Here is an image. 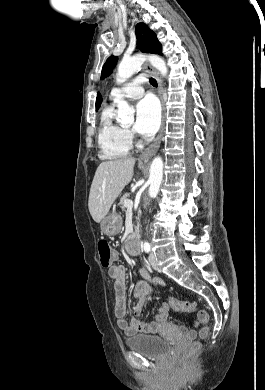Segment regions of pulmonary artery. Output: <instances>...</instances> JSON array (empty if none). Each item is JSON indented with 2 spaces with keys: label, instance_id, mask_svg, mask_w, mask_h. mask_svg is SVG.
Returning a JSON list of instances; mask_svg holds the SVG:
<instances>
[{
  "label": "pulmonary artery",
  "instance_id": "obj_1",
  "mask_svg": "<svg viewBox=\"0 0 265 390\" xmlns=\"http://www.w3.org/2000/svg\"><path fill=\"white\" fill-rule=\"evenodd\" d=\"M146 81L147 80L143 75L137 76L127 82L125 85L113 88L110 93V99H138L144 94V88L142 87V84L146 83Z\"/></svg>",
  "mask_w": 265,
  "mask_h": 390
}]
</instances>
